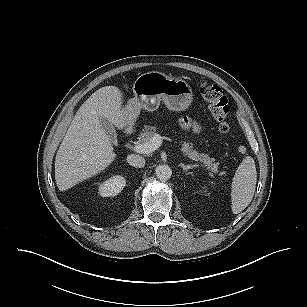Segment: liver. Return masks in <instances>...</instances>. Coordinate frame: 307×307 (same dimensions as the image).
Wrapping results in <instances>:
<instances>
[{"instance_id": "liver-1", "label": "liver", "mask_w": 307, "mask_h": 307, "mask_svg": "<svg viewBox=\"0 0 307 307\" xmlns=\"http://www.w3.org/2000/svg\"><path fill=\"white\" fill-rule=\"evenodd\" d=\"M122 92L105 86L94 92L78 109L55 158V180L65 191L103 171L116 158L110 138L99 118H107L118 129L128 124L122 107Z\"/></svg>"}]
</instances>
